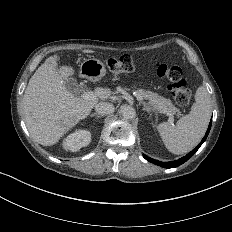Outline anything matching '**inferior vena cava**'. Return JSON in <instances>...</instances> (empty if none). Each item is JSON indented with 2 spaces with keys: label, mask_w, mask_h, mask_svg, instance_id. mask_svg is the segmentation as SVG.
I'll list each match as a JSON object with an SVG mask.
<instances>
[{
  "label": "inferior vena cava",
  "mask_w": 232,
  "mask_h": 232,
  "mask_svg": "<svg viewBox=\"0 0 232 232\" xmlns=\"http://www.w3.org/2000/svg\"><path fill=\"white\" fill-rule=\"evenodd\" d=\"M95 110L99 114L109 115V114H112L114 112V106L111 103L100 102V103L95 105Z\"/></svg>",
  "instance_id": "inferior-vena-cava-1"
}]
</instances>
